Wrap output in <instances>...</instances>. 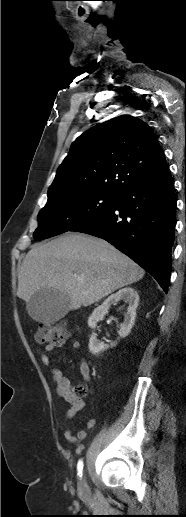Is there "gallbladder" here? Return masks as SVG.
Segmentation results:
<instances>
[{
	"instance_id": "1",
	"label": "gallbladder",
	"mask_w": 186,
	"mask_h": 517,
	"mask_svg": "<svg viewBox=\"0 0 186 517\" xmlns=\"http://www.w3.org/2000/svg\"><path fill=\"white\" fill-rule=\"evenodd\" d=\"M69 304L66 294L55 289H41L31 297L26 308L36 321L55 322L68 313Z\"/></svg>"
}]
</instances>
